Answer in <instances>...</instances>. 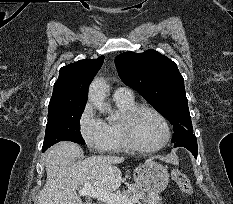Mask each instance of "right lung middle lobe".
Segmentation results:
<instances>
[{
    "mask_svg": "<svg viewBox=\"0 0 233 204\" xmlns=\"http://www.w3.org/2000/svg\"><path fill=\"white\" fill-rule=\"evenodd\" d=\"M86 103L49 105L48 122L42 149L46 150L60 141L84 145L80 132V118Z\"/></svg>",
    "mask_w": 233,
    "mask_h": 204,
    "instance_id": "1",
    "label": "right lung middle lobe"
}]
</instances>
